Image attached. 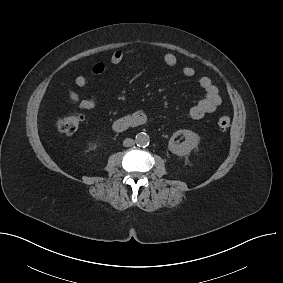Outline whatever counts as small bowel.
<instances>
[{
  "label": "small bowel",
  "mask_w": 283,
  "mask_h": 283,
  "mask_svg": "<svg viewBox=\"0 0 283 283\" xmlns=\"http://www.w3.org/2000/svg\"><path fill=\"white\" fill-rule=\"evenodd\" d=\"M135 51L136 50L133 48L115 51L109 57V64L112 66H116L120 64L127 55L132 54ZM162 60L169 67H175L178 64V58L172 53L163 54ZM106 71L107 66L103 63H95L91 67V72L94 75H102ZM182 73L186 78H192L195 75V70L190 66H185L182 69ZM88 82V78L83 75H78L74 79L75 85L80 88L87 86ZM198 84L204 93V97L190 109V117L195 120L202 119L207 114L215 112L222 103V98L220 96L219 90L212 83L209 77H200L198 80ZM69 94L70 97L78 104L81 109L91 110L96 106L97 101L95 98H81L79 94L75 91V89L72 87L69 88ZM134 115L146 120V114L141 110L136 111Z\"/></svg>",
  "instance_id": "1"
}]
</instances>
